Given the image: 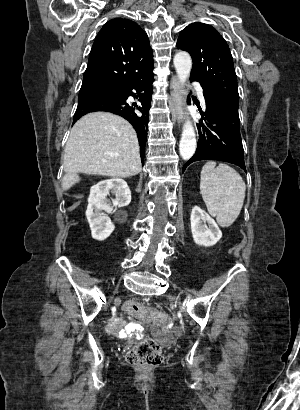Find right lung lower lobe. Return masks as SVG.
Returning a JSON list of instances; mask_svg holds the SVG:
<instances>
[{
	"label": "right lung lower lobe",
	"mask_w": 300,
	"mask_h": 410,
	"mask_svg": "<svg viewBox=\"0 0 300 410\" xmlns=\"http://www.w3.org/2000/svg\"><path fill=\"white\" fill-rule=\"evenodd\" d=\"M153 73L125 81L114 93H103L78 100L74 122L95 111H107L124 117L137 132L143 162L151 107ZM129 96L138 98L140 104L128 103Z\"/></svg>",
	"instance_id": "right-lung-lower-lobe-1"
}]
</instances>
